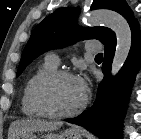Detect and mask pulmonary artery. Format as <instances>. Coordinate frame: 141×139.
Wrapping results in <instances>:
<instances>
[{"label": "pulmonary artery", "mask_w": 141, "mask_h": 139, "mask_svg": "<svg viewBox=\"0 0 141 139\" xmlns=\"http://www.w3.org/2000/svg\"><path fill=\"white\" fill-rule=\"evenodd\" d=\"M85 49L88 52L95 53V52H99L101 50V45L97 42L89 41L86 43ZM47 60H49L52 64H54L56 66L60 62L59 57L54 53H50L47 56Z\"/></svg>", "instance_id": "pulmonary-artery-1"}]
</instances>
